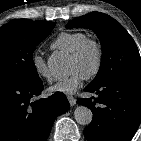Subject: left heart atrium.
<instances>
[{
    "mask_svg": "<svg viewBox=\"0 0 141 141\" xmlns=\"http://www.w3.org/2000/svg\"><path fill=\"white\" fill-rule=\"evenodd\" d=\"M84 79L85 76L79 71H73L68 77L52 85L49 90L52 93L72 94L80 87Z\"/></svg>",
    "mask_w": 141,
    "mask_h": 141,
    "instance_id": "obj_1",
    "label": "left heart atrium"
}]
</instances>
